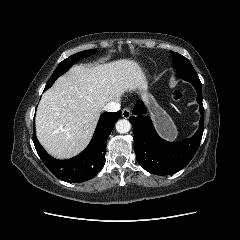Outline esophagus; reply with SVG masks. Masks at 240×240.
Returning <instances> with one entry per match:
<instances>
[{"label":"esophagus","instance_id":"esophagus-1","mask_svg":"<svg viewBox=\"0 0 240 240\" xmlns=\"http://www.w3.org/2000/svg\"><path fill=\"white\" fill-rule=\"evenodd\" d=\"M131 116V110L129 108H124L122 110V117L125 119H129Z\"/></svg>","mask_w":240,"mask_h":240}]
</instances>
